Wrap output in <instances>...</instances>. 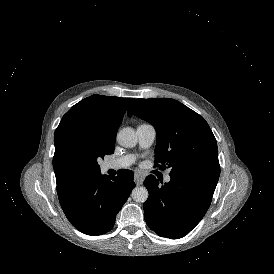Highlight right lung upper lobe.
I'll list each match as a JSON object with an SVG mask.
<instances>
[{
	"label": "right lung upper lobe",
	"mask_w": 274,
	"mask_h": 274,
	"mask_svg": "<svg viewBox=\"0 0 274 274\" xmlns=\"http://www.w3.org/2000/svg\"><path fill=\"white\" fill-rule=\"evenodd\" d=\"M134 98L92 95L74 105L63 117L54 134L53 168L57 193L61 194L89 174L73 168L64 159L71 145H85L104 138L115 143L124 113Z\"/></svg>",
	"instance_id": "cb5924a9"
}]
</instances>
